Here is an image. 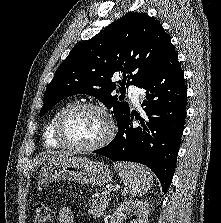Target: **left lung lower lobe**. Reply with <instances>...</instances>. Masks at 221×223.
Wrapping results in <instances>:
<instances>
[{
    "label": "left lung lower lobe",
    "mask_w": 221,
    "mask_h": 223,
    "mask_svg": "<svg viewBox=\"0 0 221 223\" xmlns=\"http://www.w3.org/2000/svg\"><path fill=\"white\" fill-rule=\"evenodd\" d=\"M140 88L146 90L142 101L145 119L136 116L140 125L133 126L134 115L129 111L118 124L114 140L93 152L113 161L148 166L166 193L175 171L187 110L184 74L172 44L159 68Z\"/></svg>",
    "instance_id": "obj_1"
}]
</instances>
